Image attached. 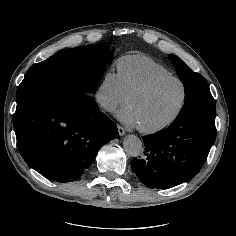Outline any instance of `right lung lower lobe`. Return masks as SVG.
Instances as JSON below:
<instances>
[{
	"label": "right lung lower lobe",
	"mask_w": 236,
	"mask_h": 236,
	"mask_svg": "<svg viewBox=\"0 0 236 236\" xmlns=\"http://www.w3.org/2000/svg\"><path fill=\"white\" fill-rule=\"evenodd\" d=\"M13 122L24 160L58 182L77 180L98 150L119 137L116 124L95 100L74 90L28 100L16 107Z\"/></svg>",
	"instance_id": "98d812e1"
}]
</instances>
